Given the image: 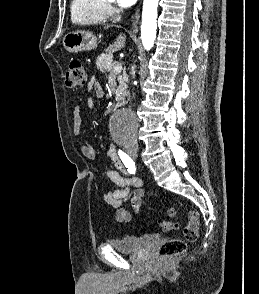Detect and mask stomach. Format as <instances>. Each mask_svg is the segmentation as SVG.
<instances>
[{
    "label": "stomach",
    "mask_w": 259,
    "mask_h": 294,
    "mask_svg": "<svg viewBox=\"0 0 259 294\" xmlns=\"http://www.w3.org/2000/svg\"><path fill=\"white\" fill-rule=\"evenodd\" d=\"M63 46L70 53L91 51L97 47V38L87 31H72L64 36Z\"/></svg>",
    "instance_id": "0dacf381"
}]
</instances>
